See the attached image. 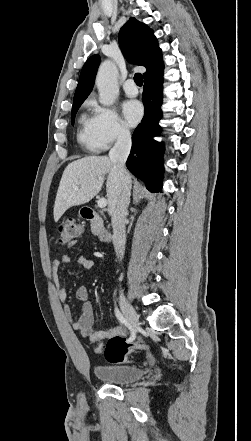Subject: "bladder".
<instances>
[{"instance_id": "obj_1", "label": "bladder", "mask_w": 251, "mask_h": 441, "mask_svg": "<svg viewBox=\"0 0 251 441\" xmlns=\"http://www.w3.org/2000/svg\"><path fill=\"white\" fill-rule=\"evenodd\" d=\"M93 371L99 380L113 385L129 384L144 375L142 369L128 365H96Z\"/></svg>"}]
</instances>
